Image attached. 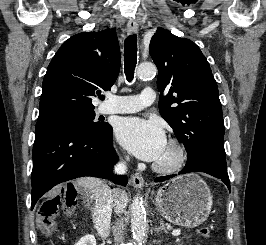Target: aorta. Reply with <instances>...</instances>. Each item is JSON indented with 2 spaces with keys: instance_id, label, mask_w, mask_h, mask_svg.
Instances as JSON below:
<instances>
[{
  "instance_id": "1",
  "label": "aorta",
  "mask_w": 266,
  "mask_h": 245,
  "mask_svg": "<svg viewBox=\"0 0 266 245\" xmlns=\"http://www.w3.org/2000/svg\"><path fill=\"white\" fill-rule=\"evenodd\" d=\"M154 74H156L155 64H139L137 70V76H139V78L154 76ZM130 213L132 239L135 245H144L147 231V217L145 207H143V199L139 197V195H135Z\"/></svg>"
}]
</instances>
